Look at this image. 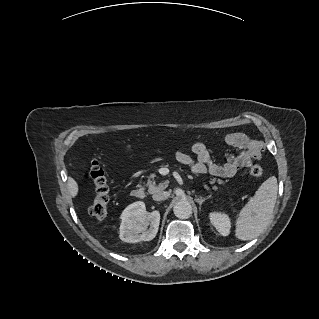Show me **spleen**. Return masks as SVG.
Returning <instances> with one entry per match:
<instances>
[{
    "mask_svg": "<svg viewBox=\"0 0 319 319\" xmlns=\"http://www.w3.org/2000/svg\"><path fill=\"white\" fill-rule=\"evenodd\" d=\"M277 192L278 184L275 176L269 177L260 185L238 215L235 230L238 239L252 240L265 230L272 218Z\"/></svg>",
    "mask_w": 319,
    "mask_h": 319,
    "instance_id": "spleen-1",
    "label": "spleen"
}]
</instances>
